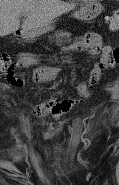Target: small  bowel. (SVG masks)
<instances>
[{
  "mask_svg": "<svg viewBox=\"0 0 119 185\" xmlns=\"http://www.w3.org/2000/svg\"><path fill=\"white\" fill-rule=\"evenodd\" d=\"M80 48L90 47L93 53H101L102 59L99 64L92 70V78L88 85H80L78 90L83 96L89 93V87L98 81V76L104 68L115 65L119 61V50L112 49L109 46H101L97 43L94 34H86L84 41L78 45ZM15 66L20 68H29L30 63L26 59L18 61L16 64L8 65L6 68V79L12 85H22L23 81L17 78L14 74ZM55 71L50 68H35L32 70V81L43 82L51 79ZM76 104L73 99L65 100L60 103H48L43 107V112H50L55 118L59 119L65 112L71 109Z\"/></svg>",
  "mask_w": 119,
  "mask_h": 185,
  "instance_id": "1",
  "label": "small bowel"
}]
</instances>
